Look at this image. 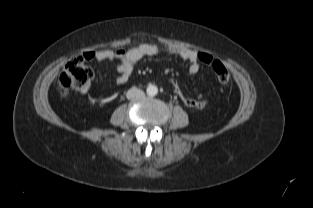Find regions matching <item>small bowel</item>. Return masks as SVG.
<instances>
[{"label":"small bowel","mask_w":313,"mask_h":208,"mask_svg":"<svg viewBox=\"0 0 313 208\" xmlns=\"http://www.w3.org/2000/svg\"><path fill=\"white\" fill-rule=\"evenodd\" d=\"M160 53H166L169 56H178L179 58L187 61L189 63V73L195 75L200 70V60L198 58V53L194 50L184 48V47H175V46H165L160 47L154 44L143 43L136 47L126 49V50H99L95 52H87L84 55L86 58L95 59L97 61H106L112 62L118 60L116 65V71L119 73V76L116 79L117 84L126 83L132 72L134 65L139 62L144 57L156 56ZM88 87L82 89V92H86ZM197 100H202L201 96Z\"/></svg>","instance_id":"obj_1"}]
</instances>
